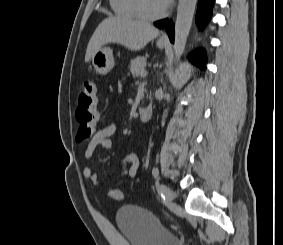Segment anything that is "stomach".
I'll list each match as a JSON object with an SVG mask.
<instances>
[{"mask_svg":"<svg viewBox=\"0 0 283 245\" xmlns=\"http://www.w3.org/2000/svg\"><path fill=\"white\" fill-rule=\"evenodd\" d=\"M157 46L162 49L166 44L158 41ZM92 64L98 74L106 75L114 67L112 49L101 47L92 57Z\"/></svg>","mask_w":283,"mask_h":245,"instance_id":"obj_1","label":"stomach"}]
</instances>
